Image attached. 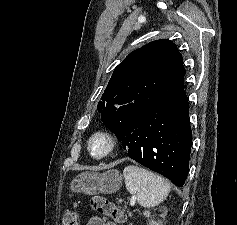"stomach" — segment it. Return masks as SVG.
I'll use <instances>...</instances> for the list:
<instances>
[{"label":"stomach","mask_w":237,"mask_h":225,"mask_svg":"<svg viewBox=\"0 0 237 225\" xmlns=\"http://www.w3.org/2000/svg\"><path fill=\"white\" fill-rule=\"evenodd\" d=\"M122 174L118 170H108L104 173L82 172L70 184L72 192L88 195L113 194L122 186Z\"/></svg>","instance_id":"0dacf381"}]
</instances>
